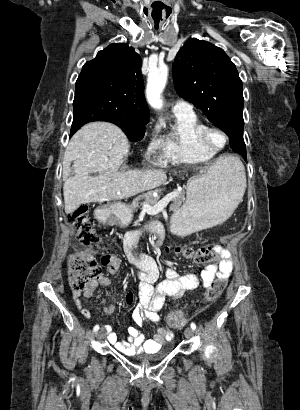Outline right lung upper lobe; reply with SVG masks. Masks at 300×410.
I'll return each instance as SVG.
<instances>
[{
  "label": "right lung upper lobe",
  "mask_w": 300,
  "mask_h": 410,
  "mask_svg": "<svg viewBox=\"0 0 300 410\" xmlns=\"http://www.w3.org/2000/svg\"><path fill=\"white\" fill-rule=\"evenodd\" d=\"M142 60L127 44H111L84 64L76 88L99 90L114 115L131 120H149L141 76Z\"/></svg>",
  "instance_id": "obj_1"
}]
</instances>
